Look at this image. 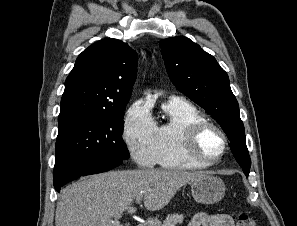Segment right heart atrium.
<instances>
[{
    "label": "right heart atrium",
    "instance_id": "obj_1",
    "mask_svg": "<svg viewBox=\"0 0 297 226\" xmlns=\"http://www.w3.org/2000/svg\"><path fill=\"white\" fill-rule=\"evenodd\" d=\"M123 141L138 166L152 167L157 163V125L141 101L134 102L126 112Z\"/></svg>",
    "mask_w": 297,
    "mask_h": 226
}]
</instances>
